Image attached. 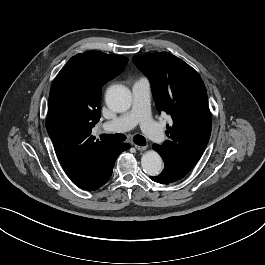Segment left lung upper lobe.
I'll return each mask as SVG.
<instances>
[{
  "mask_svg": "<svg viewBox=\"0 0 265 265\" xmlns=\"http://www.w3.org/2000/svg\"><path fill=\"white\" fill-rule=\"evenodd\" d=\"M135 65L149 78L156 107L171 115L169 139L159 145L165 167L185 176L200 159L211 134V112L200 75L168 53L137 55Z\"/></svg>",
  "mask_w": 265,
  "mask_h": 265,
  "instance_id": "left-lung-upper-lobe-1",
  "label": "left lung upper lobe"
}]
</instances>
